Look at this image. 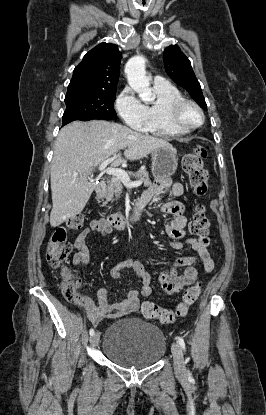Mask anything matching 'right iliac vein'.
Listing matches in <instances>:
<instances>
[{
	"mask_svg": "<svg viewBox=\"0 0 266 415\" xmlns=\"http://www.w3.org/2000/svg\"><path fill=\"white\" fill-rule=\"evenodd\" d=\"M99 339H100V335L99 333H95L91 338H90V343L91 346L96 347L99 343Z\"/></svg>",
	"mask_w": 266,
	"mask_h": 415,
	"instance_id": "obj_1",
	"label": "right iliac vein"
}]
</instances>
